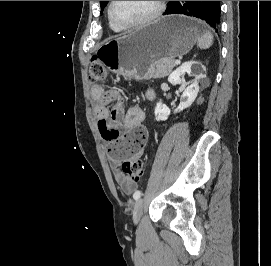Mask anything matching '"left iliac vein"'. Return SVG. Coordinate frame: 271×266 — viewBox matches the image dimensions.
Wrapping results in <instances>:
<instances>
[{"instance_id": "4c4485c4", "label": "left iliac vein", "mask_w": 271, "mask_h": 266, "mask_svg": "<svg viewBox=\"0 0 271 266\" xmlns=\"http://www.w3.org/2000/svg\"><path fill=\"white\" fill-rule=\"evenodd\" d=\"M143 208H144V201L143 199H138L134 205L133 209V222L134 224H138L140 221V218L143 214Z\"/></svg>"}]
</instances>
